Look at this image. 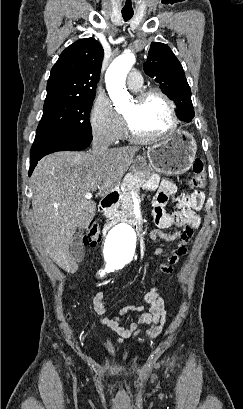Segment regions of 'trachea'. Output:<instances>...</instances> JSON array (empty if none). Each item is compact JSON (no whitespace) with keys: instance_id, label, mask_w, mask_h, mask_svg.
Listing matches in <instances>:
<instances>
[{"instance_id":"3493384b","label":"trachea","mask_w":243,"mask_h":409,"mask_svg":"<svg viewBox=\"0 0 243 409\" xmlns=\"http://www.w3.org/2000/svg\"><path fill=\"white\" fill-rule=\"evenodd\" d=\"M122 16H123V19H124L125 21H128L129 19L132 18L133 12L122 11Z\"/></svg>"}]
</instances>
